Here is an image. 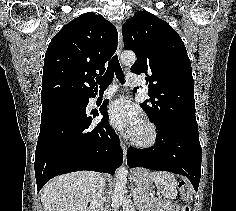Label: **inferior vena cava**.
<instances>
[{
	"label": "inferior vena cava",
	"instance_id": "1",
	"mask_svg": "<svg viewBox=\"0 0 236 211\" xmlns=\"http://www.w3.org/2000/svg\"><path fill=\"white\" fill-rule=\"evenodd\" d=\"M104 187L105 180L103 176L99 174L96 178V183L90 199L92 211H103Z\"/></svg>",
	"mask_w": 236,
	"mask_h": 211
}]
</instances>
